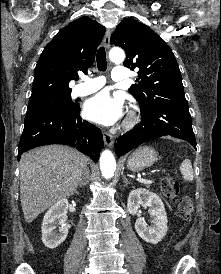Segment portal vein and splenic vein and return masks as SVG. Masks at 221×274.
<instances>
[{"mask_svg": "<svg viewBox=\"0 0 221 274\" xmlns=\"http://www.w3.org/2000/svg\"><path fill=\"white\" fill-rule=\"evenodd\" d=\"M136 180L139 181V182H144V183H152V180H146V179H143L141 177H138Z\"/></svg>", "mask_w": 221, "mask_h": 274, "instance_id": "portal-vein-and-splenic-vein-1", "label": "portal vein and splenic vein"}]
</instances>
